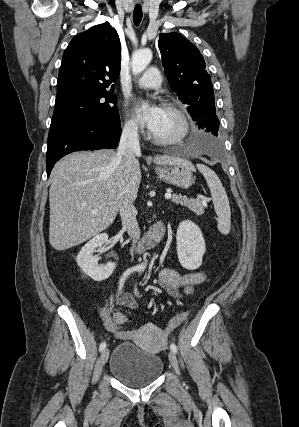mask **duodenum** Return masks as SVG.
I'll use <instances>...</instances> for the list:
<instances>
[{
	"instance_id": "obj_1",
	"label": "duodenum",
	"mask_w": 299,
	"mask_h": 427,
	"mask_svg": "<svg viewBox=\"0 0 299 427\" xmlns=\"http://www.w3.org/2000/svg\"><path fill=\"white\" fill-rule=\"evenodd\" d=\"M166 229L165 222L160 221L152 224L146 236L138 242V250L145 252L154 248L161 242Z\"/></svg>"
}]
</instances>
